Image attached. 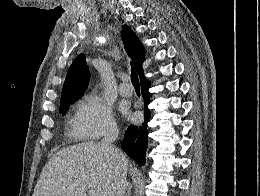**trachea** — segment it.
Returning <instances> with one entry per match:
<instances>
[{"label": "trachea", "mask_w": 260, "mask_h": 196, "mask_svg": "<svg viewBox=\"0 0 260 196\" xmlns=\"http://www.w3.org/2000/svg\"><path fill=\"white\" fill-rule=\"evenodd\" d=\"M131 82L133 86L140 87L139 78L137 76L134 66L131 64Z\"/></svg>", "instance_id": "obj_1"}]
</instances>
